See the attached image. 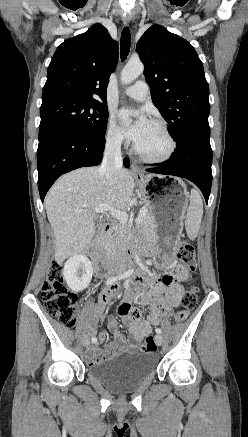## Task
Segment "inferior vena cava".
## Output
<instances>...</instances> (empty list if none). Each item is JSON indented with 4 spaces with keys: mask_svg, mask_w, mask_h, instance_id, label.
<instances>
[{
    "mask_svg": "<svg viewBox=\"0 0 248 437\" xmlns=\"http://www.w3.org/2000/svg\"><path fill=\"white\" fill-rule=\"evenodd\" d=\"M121 139L110 140L106 143L102 165L99 173L104 175L110 184L117 180V174L122 169Z\"/></svg>",
    "mask_w": 248,
    "mask_h": 437,
    "instance_id": "obj_1",
    "label": "inferior vena cava"
}]
</instances>
